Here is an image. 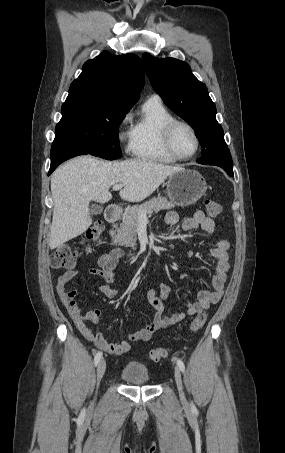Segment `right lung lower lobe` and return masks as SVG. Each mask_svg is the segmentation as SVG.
Wrapping results in <instances>:
<instances>
[{
  "mask_svg": "<svg viewBox=\"0 0 285 453\" xmlns=\"http://www.w3.org/2000/svg\"><path fill=\"white\" fill-rule=\"evenodd\" d=\"M78 155L83 154L77 146L55 138L51 147V166L48 175H50L59 164Z\"/></svg>",
  "mask_w": 285,
  "mask_h": 453,
  "instance_id": "1",
  "label": "right lung lower lobe"
}]
</instances>
